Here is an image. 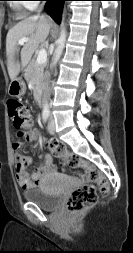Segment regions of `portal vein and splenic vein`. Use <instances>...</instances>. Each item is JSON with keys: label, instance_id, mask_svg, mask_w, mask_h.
I'll list each match as a JSON object with an SVG mask.
<instances>
[{"label": "portal vein and splenic vein", "instance_id": "portal-vein-and-splenic-vein-1", "mask_svg": "<svg viewBox=\"0 0 133 253\" xmlns=\"http://www.w3.org/2000/svg\"><path fill=\"white\" fill-rule=\"evenodd\" d=\"M29 39L28 38H21L19 41H18V44L19 45H23L25 42H28ZM47 60V52L45 49H41L38 53V56H37V64H42V63H45Z\"/></svg>", "mask_w": 133, "mask_h": 253}]
</instances>
